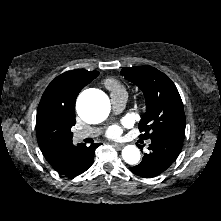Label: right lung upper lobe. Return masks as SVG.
<instances>
[{"label":"right lung upper lobe","mask_w":221,"mask_h":221,"mask_svg":"<svg viewBox=\"0 0 221 221\" xmlns=\"http://www.w3.org/2000/svg\"><path fill=\"white\" fill-rule=\"evenodd\" d=\"M99 72L76 69L57 76L44 91L37 109L36 135L40 149L50 164L73 145L71 127L75 125V101L79 92Z\"/></svg>","instance_id":"right-lung-upper-lobe-1"}]
</instances>
